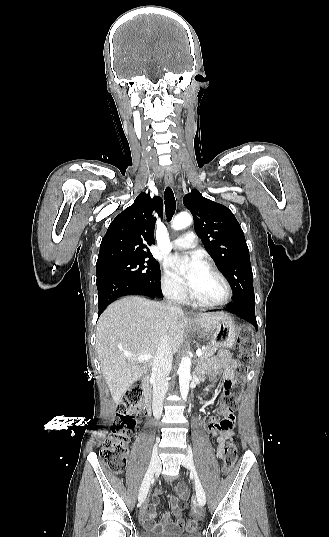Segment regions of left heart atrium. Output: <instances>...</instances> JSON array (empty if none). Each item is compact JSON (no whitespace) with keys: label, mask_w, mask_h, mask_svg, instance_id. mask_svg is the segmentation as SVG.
I'll return each mask as SVG.
<instances>
[{"label":"left heart atrium","mask_w":329,"mask_h":537,"mask_svg":"<svg viewBox=\"0 0 329 537\" xmlns=\"http://www.w3.org/2000/svg\"><path fill=\"white\" fill-rule=\"evenodd\" d=\"M187 264L184 266V263ZM169 266L181 277L185 285L192 291L205 269V263L199 253L188 256L174 255L168 259Z\"/></svg>","instance_id":"obj_1"}]
</instances>
